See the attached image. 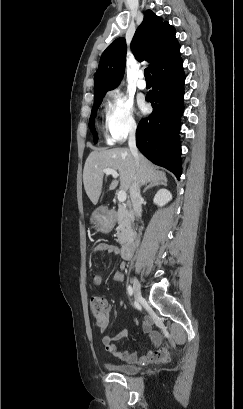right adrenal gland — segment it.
<instances>
[{
  "mask_svg": "<svg viewBox=\"0 0 243 409\" xmlns=\"http://www.w3.org/2000/svg\"><path fill=\"white\" fill-rule=\"evenodd\" d=\"M159 184H162L163 186H166V185H167V181L164 180V181H161L160 183H157V182L150 183L149 185H147V186L144 188L143 193H146L147 190H149V189H151V188H153V187H155V186H158Z\"/></svg>",
  "mask_w": 243,
  "mask_h": 409,
  "instance_id": "right-adrenal-gland-1",
  "label": "right adrenal gland"
}]
</instances>
